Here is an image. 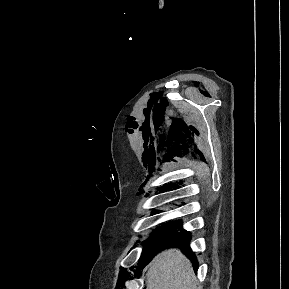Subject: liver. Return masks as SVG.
<instances>
[{"mask_svg": "<svg viewBox=\"0 0 289 289\" xmlns=\"http://www.w3.org/2000/svg\"><path fill=\"white\" fill-rule=\"evenodd\" d=\"M147 289H198L189 260L178 249L159 253L151 263Z\"/></svg>", "mask_w": 289, "mask_h": 289, "instance_id": "1", "label": "liver"}]
</instances>
